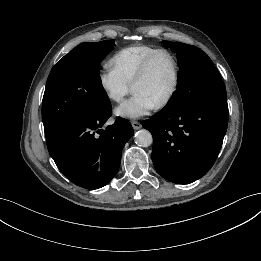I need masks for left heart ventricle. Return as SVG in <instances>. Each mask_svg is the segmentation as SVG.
Segmentation results:
<instances>
[{"instance_id": "obj_1", "label": "left heart ventricle", "mask_w": 261, "mask_h": 261, "mask_svg": "<svg viewBox=\"0 0 261 261\" xmlns=\"http://www.w3.org/2000/svg\"><path fill=\"white\" fill-rule=\"evenodd\" d=\"M174 68L171 58L159 54L151 63L146 77L133 87V92H140L155 104L160 102L170 90L173 82Z\"/></svg>"}]
</instances>
